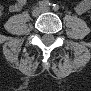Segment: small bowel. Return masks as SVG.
I'll return each mask as SVG.
<instances>
[{"mask_svg":"<svg viewBox=\"0 0 91 91\" xmlns=\"http://www.w3.org/2000/svg\"><path fill=\"white\" fill-rule=\"evenodd\" d=\"M24 4H25L24 0H17L16 2H14L13 4H11L9 6V11L17 12L23 8ZM90 7H91L90 1L83 0V1L79 2L78 5L76 6V11L78 13H85L90 9Z\"/></svg>","mask_w":91,"mask_h":91,"instance_id":"obj_1","label":"small bowel"}]
</instances>
